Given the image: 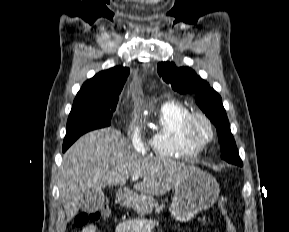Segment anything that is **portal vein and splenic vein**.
<instances>
[{
  "mask_svg": "<svg viewBox=\"0 0 289 232\" xmlns=\"http://www.w3.org/2000/svg\"><path fill=\"white\" fill-rule=\"evenodd\" d=\"M131 179H132V181H138L139 177L138 176H132Z\"/></svg>",
  "mask_w": 289,
  "mask_h": 232,
  "instance_id": "obj_1",
  "label": "portal vein and splenic vein"
}]
</instances>
